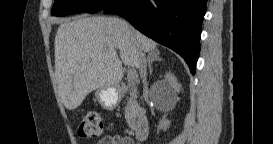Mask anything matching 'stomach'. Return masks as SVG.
Masks as SVG:
<instances>
[{
    "mask_svg": "<svg viewBox=\"0 0 273 144\" xmlns=\"http://www.w3.org/2000/svg\"><path fill=\"white\" fill-rule=\"evenodd\" d=\"M95 95L101 107L110 111L118 106L121 98L120 91L116 88L97 89Z\"/></svg>",
    "mask_w": 273,
    "mask_h": 144,
    "instance_id": "0dacf381",
    "label": "stomach"
}]
</instances>
